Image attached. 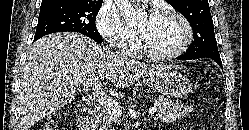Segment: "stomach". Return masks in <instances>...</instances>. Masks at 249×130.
<instances>
[{
    "mask_svg": "<svg viewBox=\"0 0 249 130\" xmlns=\"http://www.w3.org/2000/svg\"><path fill=\"white\" fill-rule=\"evenodd\" d=\"M147 85L168 98H180L191 89L189 79L176 71H162L146 81Z\"/></svg>",
    "mask_w": 249,
    "mask_h": 130,
    "instance_id": "stomach-1",
    "label": "stomach"
}]
</instances>
